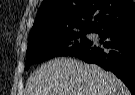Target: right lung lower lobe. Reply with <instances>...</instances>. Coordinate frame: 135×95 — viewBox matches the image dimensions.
Segmentation results:
<instances>
[{"label": "right lung lower lobe", "mask_w": 135, "mask_h": 95, "mask_svg": "<svg viewBox=\"0 0 135 95\" xmlns=\"http://www.w3.org/2000/svg\"><path fill=\"white\" fill-rule=\"evenodd\" d=\"M100 41H91L72 56L113 72L135 94V14L107 21L96 28Z\"/></svg>", "instance_id": "obj_1"}]
</instances>
